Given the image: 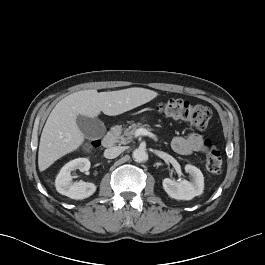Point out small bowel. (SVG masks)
I'll return each mask as SVG.
<instances>
[{"label":"small bowel","mask_w":265,"mask_h":265,"mask_svg":"<svg viewBox=\"0 0 265 265\" xmlns=\"http://www.w3.org/2000/svg\"><path fill=\"white\" fill-rule=\"evenodd\" d=\"M171 145L173 150L180 155L206 152V142L198 134H190L186 137L177 136L173 138Z\"/></svg>","instance_id":"small-bowel-1"}]
</instances>
